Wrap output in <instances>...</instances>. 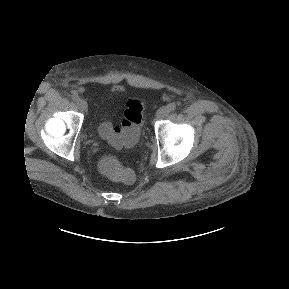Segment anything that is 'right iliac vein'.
I'll return each instance as SVG.
<instances>
[{"instance_id":"obj_1","label":"right iliac vein","mask_w":289,"mask_h":289,"mask_svg":"<svg viewBox=\"0 0 289 289\" xmlns=\"http://www.w3.org/2000/svg\"><path fill=\"white\" fill-rule=\"evenodd\" d=\"M77 106L79 107V109L83 112L87 111L88 109V105L87 102L84 99H79L77 101Z\"/></svg>"}]
</instances>
